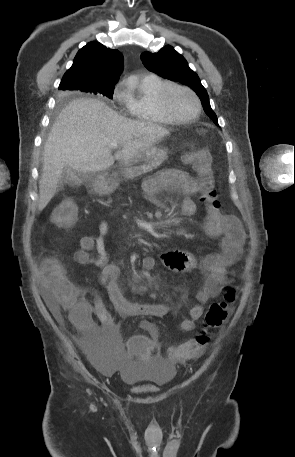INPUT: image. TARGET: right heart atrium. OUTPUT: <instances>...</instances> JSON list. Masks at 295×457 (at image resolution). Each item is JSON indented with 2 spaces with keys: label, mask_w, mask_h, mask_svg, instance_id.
Wrapping results in <instances>:
<instances>
[{
  "label": "right heart atrium",
  "mask_w": 295,
  "mask_h": 457,
  "mask_svg": "<svg viewBox=\"0 0 295 457\" xmlns=\"http://www.w3.org/2000/svg\"><path fill=\"white\" fill-rule=\"evenodd\" d=\"M125 92L123 90V85L119 84L116 86L114 92H113V97L114 99L119 102V103H125Z\"/></svg>",
  "instance_id": "right-heart-atrium-1"
}]
</instances>
